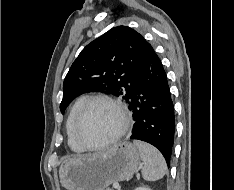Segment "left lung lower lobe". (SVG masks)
I'll list each match as a JSON object with an SVG mask.
<instances>
[{
	"label": "left lung lower lobe",
	"mask_w": 234,
	"mask_h": 190,
	"mask_svg": "<svg viewBox=\"0 0 234 190\" xmlns=\"http://www.w3.org/2000/svg\"><path fill=\"white\" fill-rule=\"evenodd\" d=\"M128 103L135 121L130 139L155 146L169 166L174 143V105L162 63L145 39L141 42L138 73Z\"/></svg>",
	"instance_id": "left-lung-lower-lobe-1"
}]
</instances>
